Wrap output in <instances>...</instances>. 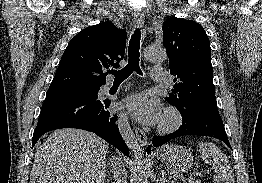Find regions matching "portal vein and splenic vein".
I'll return each instance as SVG.
<instances>
[{
	"instance_id": "1",
	"label": "portal vein and splenic vein",
	"mask_w": 262,
	"mask_h": 183,
	"mask_svg": "<svg viewBox=\"0 0 262 183\" xmlns=\"http://www.w3.org/2000/svg\"><path fill=\"white\" fill-rule=\"evenodd\" d=\"M211 173V170H205L202 173H199L200 175L209 174ZM182 181H185V179H182Z\"/></svg>"
}]
</instances>
